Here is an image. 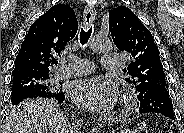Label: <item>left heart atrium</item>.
<instances>
[{"instance_id": "1", "label": "left heart atrium", "mask_w": 184, "mask_h": 133, "mask_svg": "<svg viewBox=\"0 0 184 133\" xmlns=\"http://www.w3.org/2000/svg\"><path fill=\"white\" fill-rule=\"evenodd\" d=\"M73 101L91 112L103 113L113 107L117 99V88L111 82H102L96 78H86L74 82L71 86Z\"/></svg>"}]
</instances>
